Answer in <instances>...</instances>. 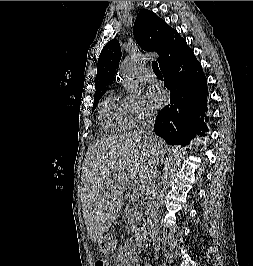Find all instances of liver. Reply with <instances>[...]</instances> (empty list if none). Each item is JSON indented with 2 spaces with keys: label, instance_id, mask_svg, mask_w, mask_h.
<instances>
[{
  "label": "liver",
  "instance_id": "6515ba94",
  "mask_svg": "<svg viewBox=\"0 0 253 266\" xmlns=\"http://www.w3.org/2000/svg\"><path fill=\"white\" fill-rule=\"evenodd\" d=\"M169 148L154 136L137 132L97 141L89 146L83 172V217L92 242H98L118 217L129 179L141 183Z\"/></svg>",
  "mask_w": 253,
  "mask_h": 266
}]
</instances>
